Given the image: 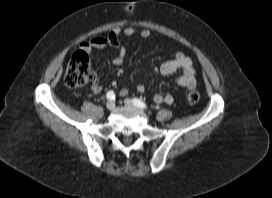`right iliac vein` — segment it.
<instances>
[{"label":"right iliac vein","instance_id":"63e3f726","mask_svg":"<svg viewBox=\"0 0 272 198\" xmlns=\"http://www.w3.org/2000/svg\"><path fill=\"white\" fill-rule=\"evenodd\" d=\"M106 107L108 110H113L115 108V103L113 101H108Z\"/></svg>","mask_w":272,"mask_h":198}]
</instances>
